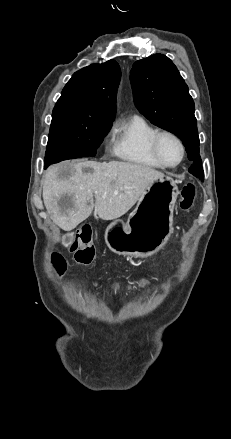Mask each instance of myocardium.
<instances>
[{
  "mask_svg": "<svg viewBox=\"0 0 231 439\" xmlns=\"http://www.w3.org/2000/svg\"><path fill=\"white\" fill-rule=\"evenodd\" d=\"M163 136H170L172 137L179 145L180 150H181V157L179 159V161L176 164H168L166 163L163 158L160 155L159 152V141L161 139V137ZM150 151L151 154L153 156V158L164 168H176L178 167L184 160L185 155H186V148H185V144L182 141V139L174 132L170 131V130H161V131H157L151 138L150 140Z\"/></svg>",
  "mask_w": 231,
  "mask_h": 439,
  "instance_id": "obj_1",
  "label": "myocardium"
}]
</instances>
